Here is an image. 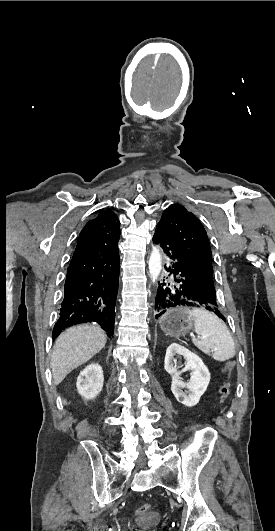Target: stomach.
I'll return each instance as SVG.
<instances>
[{"mask_svg":"<svg viewBox=\"0 0 275 531\" xmlns=\"http://www.w3.org/2000/svg\"><path fill=\"white\" fill-rule=\"evenodd\" d=\"M159 325L166 335L184 337L194 327V319L188 309H170L159 319Z\"/></svg>","mask_w":275,"mask_h":531,"instance_id":"0dacf381","label":"stomach"}]
</instances>
